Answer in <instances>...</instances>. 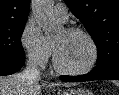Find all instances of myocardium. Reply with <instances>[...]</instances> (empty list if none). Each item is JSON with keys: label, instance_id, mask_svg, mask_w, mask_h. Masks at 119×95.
<instances>
[{"label": "myocardium", "instance_id": "f54148a6", "mask_svg": "<svg viewBox=\"0 0 119 95\" xmlns=\"http://www.w3.org/2000/svg\"><path fill=\"white\" fill-rule=\"evenodd\" d=\"M66 32H68L70 34H79V35L84 36L88 40V42L92 48V57H91V60L88 63V65L85 66L84 68L68 69L60 64V62L58 61L57 55H56L55 48H54V51H53L54 68L58 72L65 74V75L81 76V75L88 74L95 68V66L99 60V47H98L97 42L95 41V39L89 32H87L86 30L81 29V28H77V27L68 28V29H66Z\"/></svg>", "mask_w": 119, "mask_h": 95}]
</instances>
